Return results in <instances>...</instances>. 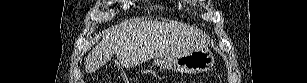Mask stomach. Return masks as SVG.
I'll list each match as a JSON object with an SVG mask.
<instances>
[{"instance_id": "1", "label": "stomach", "mask_w": 307, "mask_h": 83, "mask_svg": "<svg viewBox=\"0 0 307 83\" xmlns=\"http://www.w3.org/2000/svg\"><path fill=\"white\" fill-rule=\"evenodd\" d=\"M153 64L179 73L197 74L208 71L214 65V56L206 46H195L174 57H157Z\"/></svg>"}]
</instances>
